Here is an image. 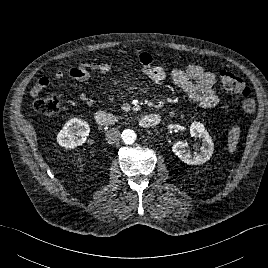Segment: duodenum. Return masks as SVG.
I'll use <instances>...</instances> for the list:
<instances>
[{"label": "duodenum", "instance_id": "1", "mask_svg": "<svg viewBox=\"0 0 268 268\" xmlns=\"http://www.w3.org/2000/svg\"><path fill=\"white\" fill-rule=\"evenodd\" d=\"M96 123L101 126H113L120 119L117 116L108 114L106 112H98L95 117ZM160 121V117L157 114L149 113L139 119V125L144 128H150L157 125Z\"/></svg>", "mask_w": 268, "mask_h": 268}]
</instances>
